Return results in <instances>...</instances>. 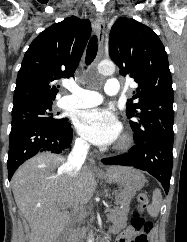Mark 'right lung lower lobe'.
<instances>
[{
  "instance_id": "obj_1",
  "label": "right lung lower lobe",
  "mask_w": 187,
  "mask_h": 242,
  "mask_svg": "<svg viewBox=\"0 0 187 242\" xmlns=\"http://www.w3.org/2000/svg\"><path fill=\"white\" fill-rule=\"evenodd\" d=\"M72 128L70 123L62 126L24 125L11 128L8 152V179L27 159L38 152L61 153L70 149Z\"/></svg>"
}]
</instances>
